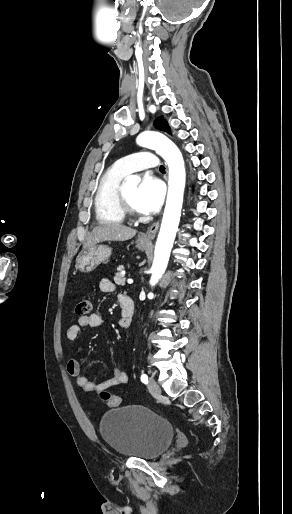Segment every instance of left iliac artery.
I'll return each mask as SVG.
<instances>
[{
	"label": "left iliac artery",
	"mask_w": 292,
	"mask_h": 514,
	"mask_svg": "<svg viewBox=\"0 0 292 514\" xmlns=\"http://www.w3.org/2000/svg\"><path fill=\"white\" fill-rule=\"evenodd\" d=\"M141 381H142L143 383H148V376H147L146 374H142V375H141Z\"/></svg>",
	"instance_id": "1"
}]
</instances>
